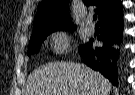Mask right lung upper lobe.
<instances>
[{"label":"right lung upper lobe","mask_w":135,"mask_h":95,"mask_svg":"<svg viewBox=\"0 0 135 95\" xmlns=\"http://www.w3.org/2000/svg\"><path fill=\"white\" fill-rule=\"evenodd\" d=\"M69 0H43L34 21L33 33L41 31L73 30L68 12ZM85 4L96 5L99 23L122 16L121 0H85Z\"/></svg>","instance_id":"1"}]
</instances>
